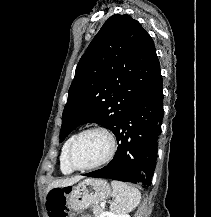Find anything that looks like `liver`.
<instances>
[{
  "label": "liver",
  "mask_w": 211,
  "mask_h": 217,
  "mask_svg": "<svg viewBox=\"0 0 211 217\" xmlns=\"http://www.w3.org/2000/svg\"><path fill=\"white\" fill-rule=\"evenodd\" d=\"M82 178V176H75L73 178L55 180L51 184H49L47 191H50L53 188L71 186L80 181Z\"/></svg>",
  "instance_id": "6515ba94"
}]
</instances>
